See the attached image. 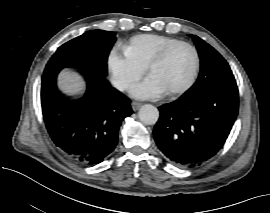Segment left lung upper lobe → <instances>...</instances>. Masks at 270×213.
<instances>
[{
  "instance_id": "1",
  "label": "left lung upper lobe",
  "mask_w": 270,
  "mask_h": 213,
  "mask_svg": "<svg viewBox=\"0 0 270 213\" xmlns=\"http://www.w3.org/2000/svg\"><path fill=\"white\" fill-rule=\"evenodd\" d=\"M190 37L198 50L201 68L197 81L184 97H194L226 81L235 80L228 63L213 47L196 35Z\"/></svg>"
}]
</instances>
